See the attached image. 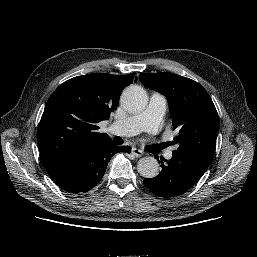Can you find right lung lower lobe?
<instances>
[{"label": "right lung lower lobe", "instance_id": "obj_1", "mask_svg": "<svg viewBox=\"0 0 257 257\" xmlns=\"http://www.w3.org/2000/svg\"><path fill=\"white\" fill-rule=\"evenodd\" d=\"M130 151L129 146L118 147L110 141L71 153L46 170L63 190L71 193L87 192L101 181L108 162L115 153Z\"/></svg>", "mask_w": 257, "mask_h": 257}]
</instances>
